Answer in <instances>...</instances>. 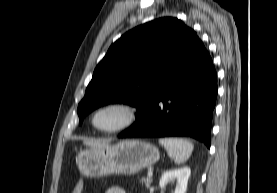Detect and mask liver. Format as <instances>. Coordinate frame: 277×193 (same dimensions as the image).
Listing matches in <instances>:
<instances>
[{"mask_svg":"<svg viewBox=\"0 0 277 193\" xmlns=\"http://www.w3.org/2000/svg\"><path fill=\"white\" fill-rule=\"evenodd\" d=\"M84 144L91 148H102L108 145L107 143L98 140H84Z\"/></svg>","mask_w":277,"mask_h":193,"instance_id":"1","label":"liver"}]
</instances>
